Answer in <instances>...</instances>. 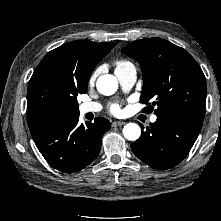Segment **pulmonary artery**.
Segmentation results:
<instances>
[{"mask_svg":"<svg viewBox=\"0 0 221 221\" xmlns=\"http://www.w3.org/2000/svg\"><path fill=\"white\" fill-rule=\"evenodd\" d=\"M118 81L125 91H128L133 87L137 79V70L133 64H128L124 68L115 71ZM102 109L101 104L96 102L83 103L79 106V110L82 114L96 113ZM157 120V116L153 115L150 118V122L154 123Z\"/></svg>","mask_w":221,"mask_h":221,"instance_id":"obj_1","label":"pulmonary artery"}]
</instances>
